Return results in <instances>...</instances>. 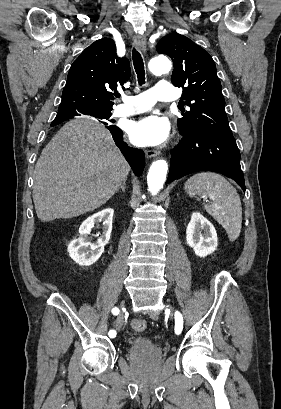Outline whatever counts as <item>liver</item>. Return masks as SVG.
<instances>
[{
    "mask_svg": "<svg viewBox=\"0 0 281 409\" xmlns=\"http://www.w3.org/2000/svg\"><path fill=\"white\" fill-rule=\"evenodd\" d=\"M129 170L106 126L91 118L68 120L43 148L34 168L38 219H71L102 207Z\"/></svg>",
    "mask_w": 281,
    "mask_h": 409,
    "instance_id": "1",
    "label": "liver"
}]
</instances>
